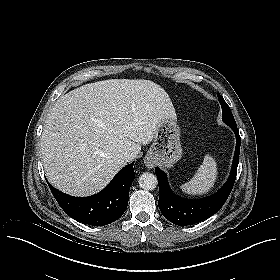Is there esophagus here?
I'll return each mask as SVG.
<instances>
[{"label": "esophagus", "mask_w": 280, "mask_h": 280, "mask_svg": "<svg viewBox=\"0 0 280 280\" xmlns=\"http://www.w3.org/2000/svg\"><path fill=\"white\" fill-rule=\"evenodd\" d=\"M144 163L148 168L152 169L156 165V160L151 154H147L144 158Z\"/></svg>", "instance_id": "34e87169"}]
</instances>
